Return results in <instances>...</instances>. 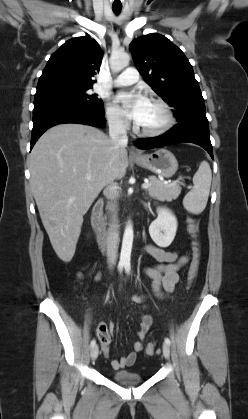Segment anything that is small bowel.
<instances>
[{"mask_svg": "<svg viewBox=\"0 0 248 419\" xmlns=\"http://www.w3.org/2000/svg\"><path fill=\"white\" fill-rule=\"evenodd\" d=\"M144 254L150 256L157 261L155 266L149 267L145 273L153 279V288L156 293L164 290L167 293L172 292L179 281V270L187 264L188 257L180 255L176 251H169L155 245H146L144 247ZM101 273H98L95 280L101 279ZM133 301L136 303H143L145 297L142 295H133ZM153 319L150 315L143 314L140 320V327L137 332V341L133 344V350L126 356L114 359L111 365L114 369H121L132 366L137 358V354L143 350V341L149 331ZM110 335L106 341L101 343V352L108 357L110 353V343L112 339V327L108 328Z\"/></svg>", "mask_w": 248, "mask_h": 419, "instance_id": "c3829d8e", "label": "small bowel"}]
</instances>
